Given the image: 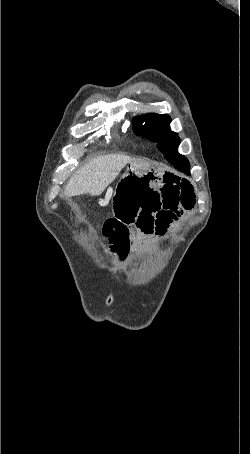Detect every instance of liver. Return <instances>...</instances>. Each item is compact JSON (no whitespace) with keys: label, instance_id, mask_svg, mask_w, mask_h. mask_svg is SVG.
<instances>
[{"label":"liver","instance_id":"liver-1","mask_svg":"<svg viewBox=\"0 0 250 454\" xmlns=\"http://www.w3.org/2000/svg\"><path fill=\"white\" fill-rule=\"evenodd\" d=\"M130 162L135 160L123 154H108L91 159L72 175L65 188L64 196L83 194L99 196Z\"/></svg>","mask_w":250,"mask_h":454}]
</instances>
